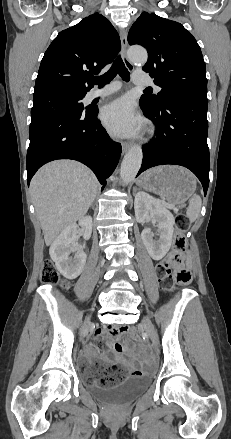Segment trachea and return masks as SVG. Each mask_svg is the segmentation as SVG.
I'll return each mask as SVG.
<instances>
[{
  "instance_id": "obj_1",
  "label": "trachea",
  "mask_w": 231,
  "mask_h": 439,
  "mask_svg": "<svg viewBox=\"0 0 231 439\" xmlns=\"http://www.w3.org/2000/svg\"><path fill=\"white\" fill-rule=\"evenodd\" d=\"M117 73L124 81L128 82L130 80V73L125 67L120 56L114 61L112 67L105 74L102 76L93 77L92 80L99 87H102L106 84H109ZM146 90L151 91L152 89L147 88Z\"/></svg>"
}]
</instances>
